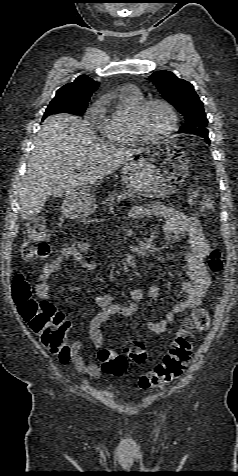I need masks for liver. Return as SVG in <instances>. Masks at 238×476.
<instances>
[{
	"mask_svg": "<svg viewBox=\"0 0 238 476\" xmlns=\"http://www.w3.org/2000/svg\"><path fill=\"white\" fill-rule=\"evenodd\" d=\"M142 148H116L99 141L80 117H47L35 139V148L23 176L19 201L22 220L35 217L48 196H69L114 172ZM77 170L79 173L75 174Z\"/></svg>",
	"mask_w": 238,
	"mask_h": 476,
	"instance_id": "1",
	"label": "liver"
}]
</instances>
